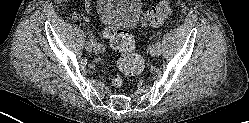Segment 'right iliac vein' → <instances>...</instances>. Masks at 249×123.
<instances>
[{
	"instance_id": "right-iliac-vein-1",
	"label": "right iliac vein",
	"mask_w": 249,
	"mask_h": 123,
	"mask_svg": "<svg viewBox=\"0 0 249 123\" xmlns=\"http://www.w3.org/2000/svg\"><path fill=\"white\" fill-rule=\"evenodd\" d=\"M85 48H86L87 51H92V49H93L92 43L90 41H87L85 43Z\"/></svg>"
}]
</instances>
